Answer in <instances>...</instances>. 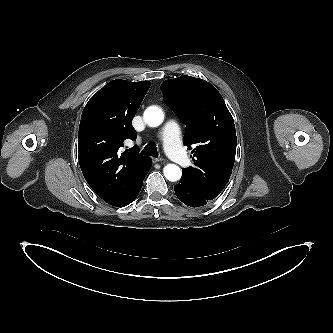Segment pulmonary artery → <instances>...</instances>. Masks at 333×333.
<instances>
[{"instance_id":"1","label":"pulmonary artery","mask_w":333,"mask_h":333,"mask_svg":"<svg viewBox=\"0 0 333 333\" xmlns=\"http://www.w3.org/2000/svg\"><path fill=\"white\" fill-rule=\"evenodd\" d=\"M161 138L168 155L182 166H188L190 160L182 148L181 130L179 125L173 121H168L161 131Z\"/></svg>"}]
</instances>
